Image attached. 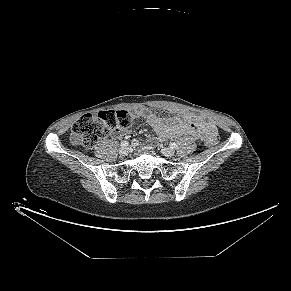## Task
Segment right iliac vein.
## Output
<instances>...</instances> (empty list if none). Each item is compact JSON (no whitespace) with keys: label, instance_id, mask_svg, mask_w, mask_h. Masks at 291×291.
<instances>
[{"label":"right iliac vein","instance_id":"1","mask_svg":"<svg viewBox=\"0 0 291 291\" xmlns=\"http://www.w3.org/2000/svg\"><path fill=\"white\" fill-rule=\"evenodd\" d=\"M128 152H129V149H128L127 147H121V148L119 149V154H120L121 156H126V155H128Z\"/></svg>","mask_w":291,"mask_h":291}]
</instances>
